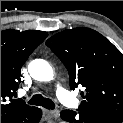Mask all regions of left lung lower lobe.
Here are the masks:
<instances>
[{"mask_svg": "<svg viewBox=\"0 0 123 123\" xmlns=\"http://www.w3.org/2000/svg\"><path fill=\"white\" fill-rule=\"evenodd\" d=\"M61 118L70 123H121L123 119L94 109L72 110L61 112Z\"/></svg>", "mask_w": 123, "mask_h": 123, "instance_id": "0a47b994", "label": "left lung lower lobe"}]
</instances>
